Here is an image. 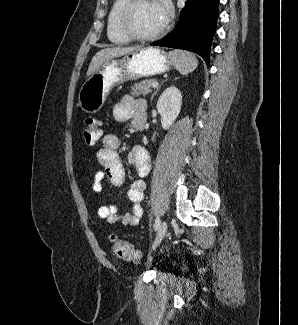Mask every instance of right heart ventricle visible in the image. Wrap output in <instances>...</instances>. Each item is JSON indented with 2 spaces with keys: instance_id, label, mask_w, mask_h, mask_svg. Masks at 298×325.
I'll return each mask as SVG.
<instances>
[{
  "instance_id": "e07e8e85",
  "label": "right heart ventricle",
  "mask_w": 298,
  "mask_h": 325,
  "mask_svg": "<svg viewBox=\"0 0 298 325\" xmlns=\"http://www.w3.org/2000/svg\"><path fill=\"white\" fill-rule=\"evenodd\" d=\"M126 0L115 1L107 15L106 34L109 42L114 46H125L129 44L130 40L123 36L117 27L118 15Z\"/></svg>"
}]
</instances>
